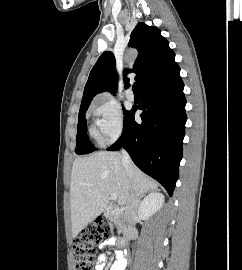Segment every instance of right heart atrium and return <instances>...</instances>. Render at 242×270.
Segmentation results:
<instances>
[{"mask_svg": "<svg viewBox=\"0 0 242 270\" xmlns=\"http://www.w3.org/2000/svg\"><path fill=\"white\" fill-rule=\"evenodd\" d=\"M92 112L100 140L105 144L116 141L124 130V116L120 105L108 95L94 103Z\"/></svg>", "mask_w": 242, "mask_h": 270, "instance_id": "right-heart-atrium-1", "label": "right heart atrium"}]
</instances>
